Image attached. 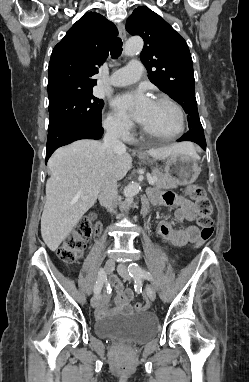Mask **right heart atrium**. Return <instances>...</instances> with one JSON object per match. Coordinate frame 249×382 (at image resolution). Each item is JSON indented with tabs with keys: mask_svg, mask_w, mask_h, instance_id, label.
<instances>
[{
	"mask_svg": "<svg viewBox=\"0 0 249 382\" xmlns=\"http://www.w3.org/2000/svg\"><path fill=\"white\" fill-rule=\"evenodd\" d=\"M104 127L112 135L123 139H129L133 131L132 122L114 111L107 114Z\"/></svg>",
	"mask_w": 249,
	"mask_h": 382,
	"instance_id": "obj_1",
	"label": "right heart atrium"
}]
</instances>
